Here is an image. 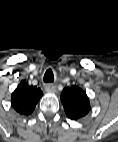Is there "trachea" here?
Returning a JSON list of instances; mask_svg holds the SVG:
<instances>
[{
    "label": "trachea",
    "instance_id": "1",
    "mask_svg": "<svg viewBox=\"0 0 118 142\" xmlns=\"http://www.w3.org/2000/svg\"><path fill=\"white\" fill-rule=\"evenodd\" d=\"M44 82L45 83H51L54 81V74L51 69H48L44 74Z\"/></svg>",
    "mask_w": 118,
    "mask_h": 142
}]
</instances>
